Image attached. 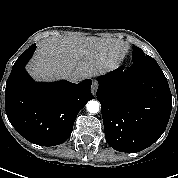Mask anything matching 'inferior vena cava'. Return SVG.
Wrapping results in <instances>:
<instances>
[{"label": "inferior vena cava", "instance_id": "inferior-vena-cava-1", "mask_svg": "<svg viewBox=\"0 0 178 178\" xmlns=\"http://www.w3.org/2000/svg\"><path fill=\"white\" fill-rule=\"evenodd\" d=\"M67 79L74 83H78L79 81L82 80L79 75H75V74L69 75Z\"/></svg>", "mask_w": 178, "mask_h": 178}]
</instances>
